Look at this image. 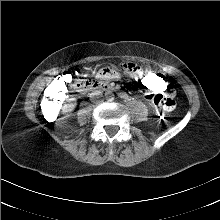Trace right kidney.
<instances>
[{"mask_svg": "<svg viewBox=\"0 0 220 220\" xmlns=\"http://www.w3.org/2000/svg\"><path fill=\"white\" fill-rule=\"evenodd\" d=\"M75 108V104H66L63 106V112L64 113H68L73 111V109Z\"/></svg>", "mask_w": 220, "mask_h": 220, "instance_id": "1", "label": "right kidney"}]
</instances>
